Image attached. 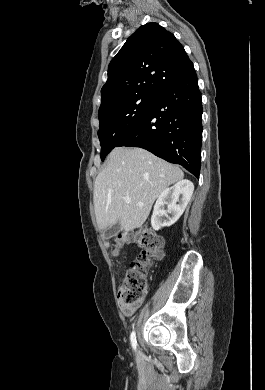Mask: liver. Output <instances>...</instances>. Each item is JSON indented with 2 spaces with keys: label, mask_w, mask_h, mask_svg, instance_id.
Wrapping results in <instances>:
<instances>
[{
  "label": "liver",
  "mask_w": 265,
  "mask_h": 390,
  "mask_svg": "<svg viewBox=\"0 0 265 390\" xmlns=\"http://www.w3.org/2000/svg\"><path fill=\"white\" fill-rule=\"evenodd\" d=\"M183 178L184 173L178 166L147 150L114 148L94 184V210L99 229L104 230L117 221L125 235L140 228L157 197ZM124 197H130L131 202L125 203Z\"/></svg>",
  "instance_id": "6515ba94"
}]
</instances>
